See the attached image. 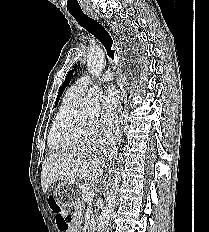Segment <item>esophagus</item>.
<instances>
[{
  "instance_id": "obj_1",
  "label": "esophagus",
  "mask_w": 209,
  "mask_h": 232,
  "mask_svg": "<svg viewBox=\"0 0 209 232\" xmlns=\"http://www.w3.org/2000/svg\"><path fill=\"white\" fill-rule=\"evenodd\" d=\"M85 12L93 17L94 19H98L96 14L91 10V9H86ZM121 89H122V86H121ZM125 106H126V95H125V92L124 90H122V94H121V102H120V105H119V109H118V112L120 114H123L124 111H125Z\"/></svg>"
}]
</instances>
